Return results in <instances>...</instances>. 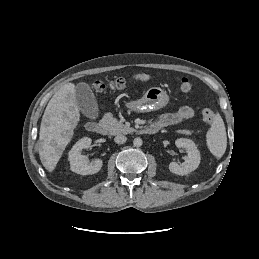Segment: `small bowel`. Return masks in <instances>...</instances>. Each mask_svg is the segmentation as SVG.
Listing matches in <instances>:
<instances>
[{"label":"small bowel","instance_id":"small-bowel-1","mask_svg":"<svg viewBox=\"0 0 259 259\" xmlns=\"http://www.w3.org/2000/svg\"><path fill=\"white\" fill-rule=\"evenodd\" d=\"M194 111L190 106H182L177 112L168 113L158 118L152 124H155L159 129L171 125L178 124L179 122L189 119L193 116Z\"/></svg>","mask_w":259,"mask_h":259}]
</instances>
